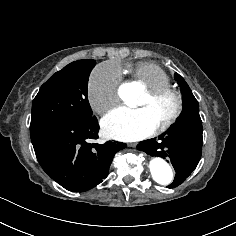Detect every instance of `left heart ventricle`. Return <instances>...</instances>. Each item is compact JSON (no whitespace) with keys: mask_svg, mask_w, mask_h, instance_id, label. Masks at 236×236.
I'll list each match as a JSON object with an SVG mask.
<instances>
[{"mask_svg":"<svg viewBox=\"0 0 236 236\" xmlns=\"http://www.w3.org/2000/svg\"><path fill=\"white\" fill-rule=\"evenodd\" d=\"M135 107L148 111L154 128L163 124L173 109V101L171 98H164L156 103H151L148 96H142Z\"/></svg>","mask_w":236,"mask_h":236,"instance_id":"left-heart-ventricle-1","label":"left heart ventricle"}]
</instances>
